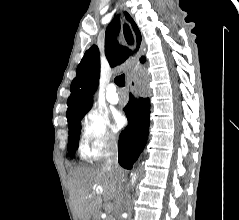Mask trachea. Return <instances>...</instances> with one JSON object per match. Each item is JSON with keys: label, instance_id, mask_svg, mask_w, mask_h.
Returning <instances> with one entry per match:
<instances>
[{"label": "trachea", "instance_id": "obj_1", "mask_svg": "<svg viewBox=\"0 0 239 220\" xmlns=\"http://www.w3.org/2000/svg\"><path fill=\"white\" fill-rule=\"evenodd\" d=\"M115 83L119 87H124L125 86V76H124V74H121V75L115 77Z\"/></svg>", "mask_w": 239, "mask_h": 220}]
</instances>
